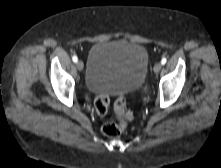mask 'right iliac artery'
Wrapping results in <instances>:
<instances>
[{
    "instance_id": "right-iliac-artery-1",
    "label": "right iliac artery",
    "mask_w": 221,
    "mask_h": 168,
    "mask_svg": "<svg viewBox=\"0 0 221 168\" xmlns=\"http://www.w3.org/2000/svg\"><path fill=\"white\" fill-rule=\"evenodd\" d=\"M72 60H73L74 62H77V61H78L77 56L74 55V56L72 57Z\"/></svg>"
}]
</instances>
